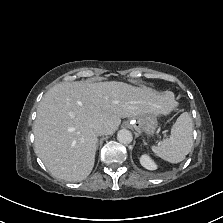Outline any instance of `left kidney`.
I'll return each instance as SVG.
<instances>
[{
  "label": "left kidney",
  "mask_w": 223,
  "mask_h": 223,
  "mask_svg": "<svg viewBox=\"0 0 223 223\" xmlns=\"http://www.w3.org/2000/svg\"><path fill=\"white\" fill-rule=\"evenodd\" d=\"M140 163L141 165L148 169V170H156L157 165L154 163V161L148 156V155H142L140 157Z\"/></svg>",
  "instance_id": "5707ae66"
}]
</instances>
